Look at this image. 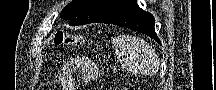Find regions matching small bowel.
Instances as JSON below:
<instances>
[{
	"instance_id": "c3829d8e",
	"label": "small bowel",
	"mask_w": 216,
	"mask_h": 90,
	"mask_svg": "<svg viewBox=\"0 0 216 90\" xmlns=\"http://www.w3.org/2000/svg\"><path fill=\"white\" fill-rule=\"evenodd\" d=\"M81 72L82 78L86 82H94L98 79L99 73L97 67L93 63H68L60 73L58 80L59 90H75L76 82L73 77L74 72Z\"/></svg>"
}]
</instances>
